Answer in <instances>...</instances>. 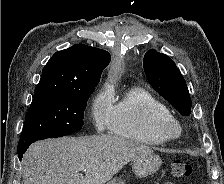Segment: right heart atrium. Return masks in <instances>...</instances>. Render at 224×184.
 I'll list each match as a JSON object with an SVG mask.
<instances>
[{
    "instance_id": "right-heart-atrium-1",
    "label": "right heart atrium",
    "mask_w": 224,
    "mask_h": 184,
    "mask_svg": "<svg viewBox=\"0 0 224 184\" xmlns=\"http://www.w3.org/2000/svg\"><path fill=\"white\" fill-rule=\"evenodd\" d=\"M113 94L108 91H100L93 98L90 105V115L94 126L103 131L110 126Z\"/></svg>"
}]
</instances>
